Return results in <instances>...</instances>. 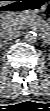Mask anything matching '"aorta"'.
Listing matches in <instances>:
<instances>
[{
	"label": "aorta",
	"instance_id": "aorta-1",
	"mask_svg": "<svg viewBox=\"0 0 50 111\" xmlns=\"http://www.w3.org/2000/svg\"><path fill=\"white\" fill-rule=\"evenodd\" d=\"M24 40L29 44H33L37 41V34L35 32H27L24 36Z\"/></svg>",
	"mask_w": 50,
	"mask_h": 111
}]
</instances>
